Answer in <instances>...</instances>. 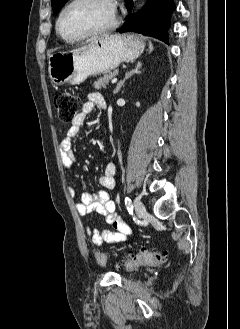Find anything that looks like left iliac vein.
<instances>
[{
	"label": "left iliac vein",
	"instance_id": "1",
	"mask_svg": "<svg viewBox=\"0 0 240 329\" xmlns=\"http://www.w3.org/2000/svg\"><path fill=\"white\" fill-rule=\"evenodd\" d=\"M134 208L139 218H143L146 215V208L139 198H135Z\"/></svg>",
	"mask_w": 240,
	"mask_h": 329
}]
</instances>
